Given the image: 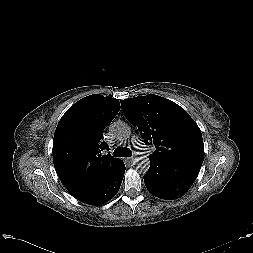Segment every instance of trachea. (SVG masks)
Returning a JSON list of instances; mask_svg holds the SVG:
<instances>
[{"label":"trachea","mask_w":253,"mask_h":253,"mask_svg":"<svg viewBox=\"0 0 253 253\" xmlns=\"http://www.w3.org/2000/svg\"><path fill=\"white\" fill-rule=\"evenodd\" d=\"M114 157H130L132 156V151L129 148L118 147L114 150Z\"/></svg>","instance_id":"3493384b"}]
</instances>
